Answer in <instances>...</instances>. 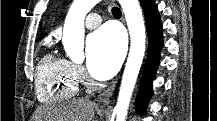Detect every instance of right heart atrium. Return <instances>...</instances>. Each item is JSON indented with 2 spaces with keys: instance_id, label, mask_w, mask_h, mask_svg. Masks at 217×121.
<instances>
[{
  "instance_id": "d8ad5b80",
  "label": "right heart atrium",
  "mask_w": 217,
  "mask_h": 121,
  "mask_svg": "<svg viewBox=\"0 0 217 121\" xmlns=\"http://www.w3.org/2000/svg\"><path fill=\"white\" fill-rule=\"evenodd\" d=\"M74 71H75L78 79L84 78V73H83V70L80 66L74 65Z\"/></svg>"
}]
</instances>
